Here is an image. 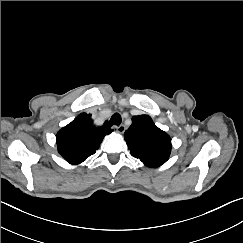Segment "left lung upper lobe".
<instances>
[{
    "label": "left lung upper lobe",
    "mask_w": 243,
    "mask_h": 243,
    "mask_svg": "<svg viewBox=\"0 0 243 243\" xmlns=\"http://www.w3.org/2000/svg\"><path fill=\"white\" fill-rule=\"evenodd\" d=\"M124 138L132 156L148 167H159L169 159L171 139L148 115L133 117Z\"/></svg>",
    "instance_id": "5c2ea615"
}]
</instances>
